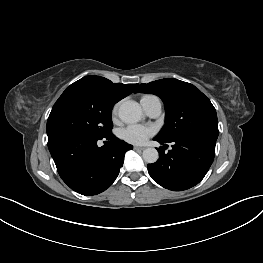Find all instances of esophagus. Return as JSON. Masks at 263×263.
<instances>
[{"instance_id":"esophagus-1","label":"esophagus","mask_w":263,"mask_h":263,"mask_svg":"<svg viewBox=\"0 0 263 263\" xmlns=\"http://www.w3.org/2000/svg\"><path fill=\"white\" fill-rule=\"evenodd\" d=\"M144 147L134 146V150H144Z\"/></svg>"}]
</instances>
